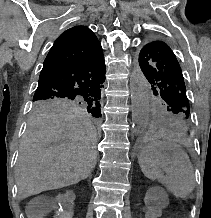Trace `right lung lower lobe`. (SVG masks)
<instances>
[{"instance_id":"1","label":"right lung lower lobe","mask_w":211,"mask_h":218,"mask_svg":"<svg viewBox=\"0 0 211 218\" xmlns=\"http://www.w3.org/2000/svg\"><path fill=\"white\" fill-rule=\"evenodd\" d=\"M104 81L105 63L102 55L41 76L34 98H102Z\"/></svg>"}]
</instances>
